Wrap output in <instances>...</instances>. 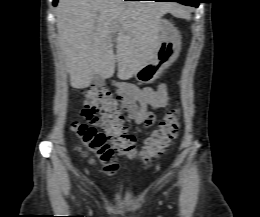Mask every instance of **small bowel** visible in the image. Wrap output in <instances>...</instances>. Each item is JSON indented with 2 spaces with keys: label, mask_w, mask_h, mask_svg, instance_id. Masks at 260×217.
<instances>
[{
  "label": "small bowel",
  "mask_w": 260,
  "mask_h": 217,
  "mask_svg": "<svg viewBox=\"0 0 260 217\" xmlns=\"http://www.w3.org/2000/svg\"><path fill=\"white\" fill-rule=\"evenodd\" d=\"M121 108L127 117L138 125L150 127L156 120V111L168 100V88L162 83L157 88L137 87L124 82H113Z\"/></svg>",
  "instance_id": "obj_1"
}]
</instances>
